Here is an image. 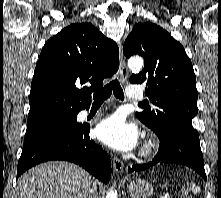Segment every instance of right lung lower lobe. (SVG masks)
Returning <instances> with one entry per match:
<instances>
[{
  "label": "right lung lower lobe",
  "instance_id": "98d812e1",
  "mask_svg": "<svg viewBox=\"0 0 221 198\" xmlns=\"http://www.w3.org/2000/svg\"><path fill=\"white\" fill-rule=\"evenodd\" d=\"M90 127L81 124L71 130L48 131L24 141L17 167V178L29 168L46 161L76 163L107 183L111 177L108 154L89 138Z\"/></svg>",
  "mask_w": 221,
  "mask_h": 198
}]
</instances>
